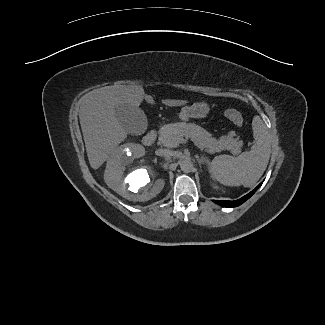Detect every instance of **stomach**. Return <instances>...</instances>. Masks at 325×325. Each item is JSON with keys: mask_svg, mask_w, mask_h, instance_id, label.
<instances>
[{"mask_svg": "<svg viewBox=\"0 0 325 325\" xmlns=\"http://www.w3.org/2000/svg\"><path fill=\"white\" fill-rule=\"evenodd\" d=\"M209 110V106L205 102L194 103L192 106L183 107L179 114V118L181 120L203 118L209 113Z\"/></svg>", "mask_w": 325, "mask_h": 325, "instance_id": "stomach-1", "label": "stomach"}]
</instances>
